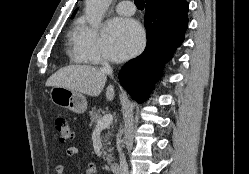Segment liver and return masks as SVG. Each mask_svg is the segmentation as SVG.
<instances>
[{
    "instance_id": "1",
    "label": "liver",
    "mask_w": 249,
    "mask_h": 174,
    "mask_svg": "<svg viewBox=\"0 0 249 174\" xmlns=\"http://www.w3.org/2000/svg\"><path fill=\"white\" fill-rule=\"evenodd\" d=\"M107 77L101 69L89 65H69L50 76L46 86H61L89 96H98L103 90ZM114 87L109 85L106 98L114 99Z\"/></svg>"
}]
</instances>
